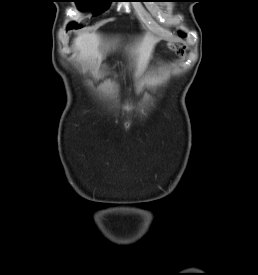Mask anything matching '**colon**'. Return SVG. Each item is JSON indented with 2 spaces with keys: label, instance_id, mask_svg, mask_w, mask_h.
Returning a JSON list of instances; mask_svg holds the SVG:
<instances>
[{
  "label": "colon",
  "instance_id": "1",
  "mask_svg": "<svg viewBox=\"0 0 258 275\" xmlns=\"http://www.w3.org/2000/svg\"><path fill=\"white\" fill-rule=\"evenodd\" d=\"M170 48L173 52L179 55H183L185 52V46H183L182 44L173 43L170 45Z\"/></svg>",
  "mask_w": 258,
  "mask_h": 275
}]
</instances>
